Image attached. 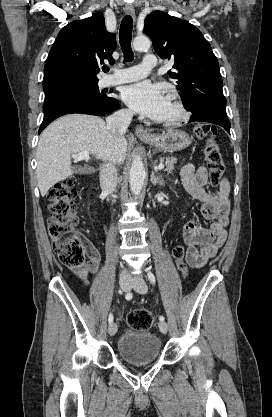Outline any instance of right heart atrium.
I'll return each instance as SVG.
<instances>
[{
    "label": "right heart atrium",
    "mask_w": 272,
    "mask_h": 417,
    "mask_svg": "<svg viewBox=\"0 0 272 417\" xmlns=\"http://www.w3.org/2000/svg\"><path fill=\"white\" fill-rule=\"evenodd\" d=\"M122 114H123V115H125V116H129V115H130V110H128V109H123V110H122Z\"/></svg>",
    "instance_id": "d8ad5b80"
}]
</instances>
